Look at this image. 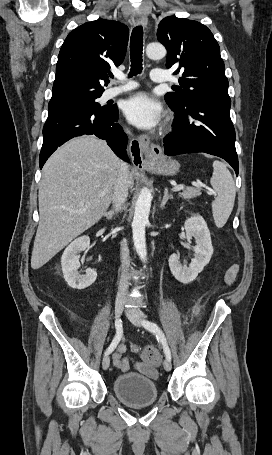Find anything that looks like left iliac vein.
<instances>
[{"instance_id": "obj_1", "label": "left iliac vein", "mask_w": 272, "mask_h": 455, "mask_svg": "<svg viewBox=\"0 0 272 455\" xmlns=\"http://www.w3.org/2000/svg\"><path fill=\"white\" fill-rule=\"evenodd\" d=\"M126 313V316L128 317V319L136 326L138 327H142L143 326V320L144 318L146 317L145 314L138 310V309H134V308H129V309H126L125 311ZM163 366H164V369L166 371H170L171 370V361L169 359H165L164 360V363H163Z\"/></svg>"}]
</instances>
